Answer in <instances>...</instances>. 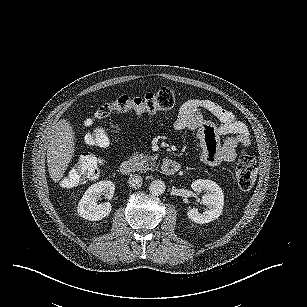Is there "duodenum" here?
<instances>
[{"label":"duodenum","instance_id":"obj_1","mask_svg":"<svg viewBox=\"0 0 307 307\" xmlns=\"http://www.w3.org/2000/svg\"><path fill=\"white\" fill-rule=\"evenodd\" d=\"M180 164L172 159H166L161 164V172L165 175L172 176L180 170ZM133 171L131 161L125 160L120 164V173L123 175H130Z\"/></svg>","mask_w":307,"mask_h":307}]
</instances>
